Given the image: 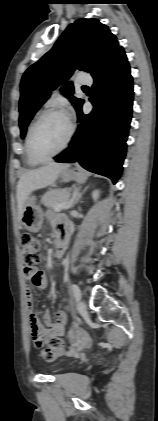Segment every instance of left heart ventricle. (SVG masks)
<instances>
[{
  "label": "left heart ventricle",
  "mask_w": 158,
  "mask_h": 421,
  "mask_svg": "<svg viewBox=\"0 0 158 421\" xmlns=\"http://www.w3.org/2000/svg\"><path fill=\"white\" fill-rule=\"evenodd\" d=\"M69 133V122L66 116L52 114L46 117L38 126L34 138L33 147L40 157H47L57 151Z\"/></svg>",
  "instance_id": "b2bd125f"
}]
</instances>
